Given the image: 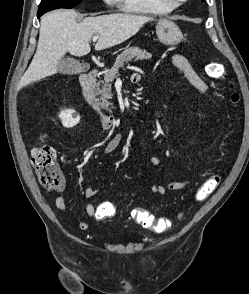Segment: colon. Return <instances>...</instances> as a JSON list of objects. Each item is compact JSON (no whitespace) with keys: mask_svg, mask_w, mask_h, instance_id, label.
<instances>
[{"mask_svg":"<svg viewBox=\"0 0 249 294\" xmlns=\"http://www.w3.org/2000/svg\"><path fill=\"white\" fill-rule=\"evenodd\" d=\"M205 71L208 76L215 79L223 78L225 75L224 69L217 63L207 64ZM230 102L233 105H237L240 102V96L237 92H231ZM32 165L42 187L50 190H58L65 186V176L56 164V153L51 146L41 144L33 148ZM219 183L220 176L217 174L212 175L197 190L195 199L197 201L204 200L215 191ZM109 212L112 213L113 209L109 208ZM131 217L142 227L156 232H164L171 226L169 219L156 217L142 209H134L131 212Z\"/></svg>","mask_w":249,"mask_h":294,"instance_id":"obj_1","label":"colon"}]
</instances>
